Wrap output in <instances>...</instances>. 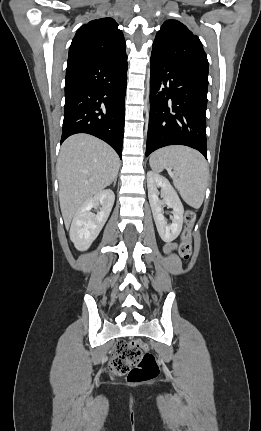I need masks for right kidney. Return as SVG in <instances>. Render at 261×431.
I'll return each instance as SVG.
<instances>
[{
	"label": "right kidney",
	"instance_id": "1",
	"mask_svg": "<svg viewBox=\"0 0 261 431\" xmlns=\"http://www.w3.org/2000/svg\"><path fill=\"white\" fill-rule=\"evenodd\" d=\"M115 201L111 189L103 190L88 199L76 211L70 228V239L77 250H87L107 221ZM102 205L97 214L91 212Z\"/></svg>",
	"mask_w": 261,
	"mask_h": 431
}]
</instances>
